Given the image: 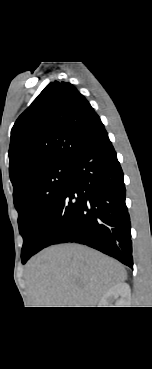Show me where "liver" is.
Listing matches in <instances>:
<instances>
[{
	"mask_svg": "<svg viewBox=\"0 0 152 369\" xmlns=\"http://www.w3.org/2000/svg\"><path fill=\"white\" fill-rule=\"evenodd\" d=\"M126 279L122 264L79 244L46 248L26 270L33 307H95L111 287Z\"/></svg>",
	"mask_w": 152,
	"mask_h": 369,
	"instance_id": "6515ba94",
	"label": "liver"
}]
</instances>
